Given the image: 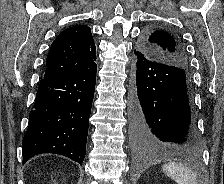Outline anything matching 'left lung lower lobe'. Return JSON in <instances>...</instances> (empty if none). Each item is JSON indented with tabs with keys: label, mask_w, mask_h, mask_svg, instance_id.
Listing matches in <instances>:
<instances>
[{
	"label": "left lung lower lobe",
	"mask_w": 224,
	"mask_h": 184,
	"mask_svg": "<svg viewBox=\"0 0 224 184\" xmlns=\"http://www.w3.org/2000/svg\"><path fill=\"white\" fill-rule=\"evenodd\" d=\"M133 141L143 154H196L195 131L187 70L150 60L134 51Z\"/></svg>",
	"instance_id": "1"
}]
</instances>
